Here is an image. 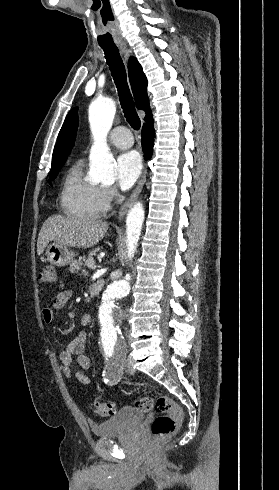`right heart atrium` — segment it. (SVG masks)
Returning a JSON list of instances; mask_svg holds the SVG:
<instances>
[{
    "label": "right heart atrium",
    "mask_w": 279,
    "mask_h": 490,
    "mask_svg": "<svg viewBox=\"0 0 279 490\" xmlns=\"http://www.w3.org/2000/svg\"><path fill=\"white\" fill-rule=\"evenodd\" d=\"M117 198V191L114 187H98L95 204L98 215L106 214L112 207Z\"/></svg>",
    "instance_id": "d8ad5b80"
}]
</instances>
